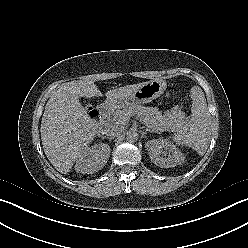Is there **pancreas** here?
<instances>
[{
	"label": "pancreas",
	"mask_w": 248,
	"mask_h": 248,
	"mask_svg": "<svg viewBox=\"0 0 248 248\" xmlns=\"http://www.w3.org/2000/svg\"><path fill=\"white\" fill-rule=\"evenodd\" d=\"M131 116H137L153 132L178 129L185 120V115L181 111L171 110L163 115L157 108L137 104L116 110L110 114L108 119L110 123L124 126L128 124Z\"/></svg>",
	"instance_id": "pancreas-1"
}]
</instances>
